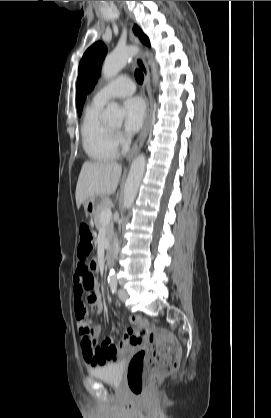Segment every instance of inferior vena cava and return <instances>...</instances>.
Masks as SVG:
<instances>
[{
    "instance_id": "obj_1",
    "label": "inferior vena cava",
    "mask_w": 271,
    "mask_h": 418,
    "mask_svg": "<svg viewBox=\"0 0 271 418\" xmlns=\"http://www.w3.org/2000/svg\"><path fill=\"white\" fill-rule=\"evenodd\" d=\"M114 251L115 253L118 251V239L117 238L114 239Z\"/></svg>"
}]
</instances>
